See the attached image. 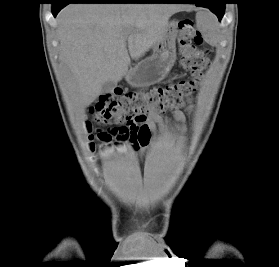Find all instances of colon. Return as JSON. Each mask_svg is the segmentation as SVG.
<instances>
[{"instance_id": "1", "label": "colon", "mask_w": 279, "mask_h": 267, "mask_svg": "<svg viewBox=\"0 0 279 267\" xmlns=\"http://www.w3.org/2000/svg\"><path fill=\"white\" fill-rule=\"evenodd\" d=\"M178 31L180 65L193 75V79L148 91L123 93L121 89H116L101 95L91 107L93 120L113 128L109 132H99V139L108 141L115 135L119 140H129L134 136L132 128L137 120L149 113L162 114L167 110L181 108L194 94L200 76L208 64L207 53L200 49L203 40L193 20H180ZM137 137L144 142L147 132L142 129Z\"/></svg>"}]
</instances>
